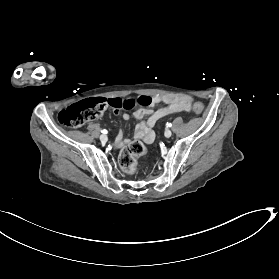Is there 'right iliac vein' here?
<instances>
[{
	"label": "right iliac vein",
	"mask_w": 279,
	"mask_h": 279,
	"mask_svg": "<svg viewBox=\"0 0 279 279\" xmlns=\"http://www.w3.org/2000/svg\"><path fill=\"white\" fill-rule=\"evenodd\" d=\"M107 140H108V137H107L105 134H102V135L100 136V141H101V142L106 143Z\"/></svg>",
	"instance_id": "1"
}]
</instances>
